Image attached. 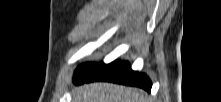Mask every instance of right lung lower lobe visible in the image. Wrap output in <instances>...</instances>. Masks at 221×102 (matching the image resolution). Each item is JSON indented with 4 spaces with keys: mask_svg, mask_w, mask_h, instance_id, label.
I'll return each mask as SVG.
<instances>
[{
    "mask_svg": "<svg viewBox=\"0 0 221 102\" xmlns=\"http://www.w3.org/2000/svg\"><path fill=\"white\" fill-rule=\"evenodd\" d=\"M93 81H108L130 86H138L148 92L151 90V81L143 73L131 70L128 62L114 61L110 64L103 62L94 65L87 64L81 70L75 72L73 82L83 84Z\"/></svg>",
    "mask_w": 221,
    "mask_h": 102,
    "instance_id": "98d812e1",
    "label": "right lung lower lobe"
}]
</instances>
